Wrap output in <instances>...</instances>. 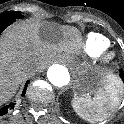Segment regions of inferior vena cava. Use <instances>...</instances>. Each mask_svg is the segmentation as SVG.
<instances>
[{"mask_svg": "<svg viewBox=\"0 0 124 124\" xmlns=\"http://www.w3.org/2000/svg\"><path fill=\"white\" fill-rule=\"evenodd\" d=\"M29 69L32 71V72H36L38 70V64L36 62H31L29 64Z\"/></svg>", "mask_w": 124, "mask_h": 124, "instance_id": "602c4592", "label": "inferior vena cava"}]
</instances>
